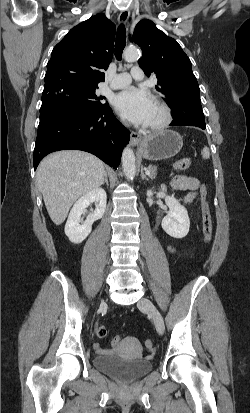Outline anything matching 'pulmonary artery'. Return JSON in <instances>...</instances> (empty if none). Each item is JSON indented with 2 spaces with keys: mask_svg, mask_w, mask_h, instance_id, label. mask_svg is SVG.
<instances>
[{
  "mask_svg": "<svg viewBox=\"0 0 250 413\" xmlns=\"http://www.w3.org/2000/svg\"><path fill=\"white\" fill-rule=\"evenodd\" d=\"M143 78V72L139 67H133L130 73L123 72L114 76L109 87L112 89H120L128 86L132 79L141 80Z\"/></svg>",
  "mask_w": 250,
  "mask_h": 413,
  "instance_id": "obj_1",
  "label": "pulmonary artery"
}]
</instances>
